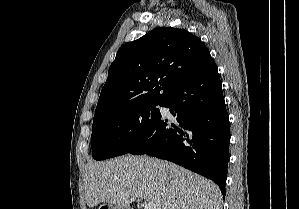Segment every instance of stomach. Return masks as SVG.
Returning a JSON list of instances; mask_svg holds the SVG:
<instances>
[{
  "label": "stomach",
  "instance_id": "0dacf381",
  "mask_svg": "<svg viewBox=\"0 0 299 209\" xmlns=\"http://www.w3.org/2000/svg\"><path fill=\"white\" fill-rule=\"evenodd\" d=\"M103 207H104V206H100L99 209H104ZM106 208H107V209H121V208H119V207L116 208V207H110V206H107Z\"/></svg>",
  "mask_w": 299,
  "mask_h": 209
}]
</instances>
